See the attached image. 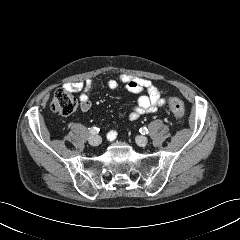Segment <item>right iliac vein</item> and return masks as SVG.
I'll return each instance as SVG.
<instances>
[{"mask_svg":"<svg viewBox=\"0 0 240 240\" xmlns=\"http://www.w3.org/2000/svg\"><path fill=\"white\" fill-rule=\"evenodd\" d=\"M101 137L98 135H92L88 138V142L91 146H99L101 144Z\"/></svg>","mask_w":240,"mask_h":240,"instance_id":"1","label":"right iliac vein"}]
</instances>
